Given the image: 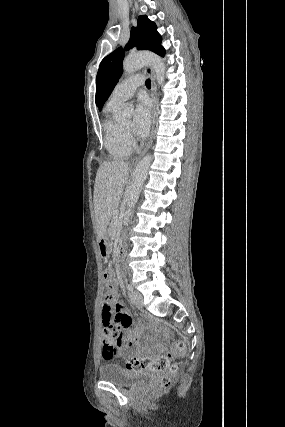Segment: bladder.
I'll return each mask as SVG.
<instances>
[{"instance_id": "bladder-1", "label": "bladder", "mask_w": 285, "mask_h": 427, "mask_svg": "<svg viewBox=\"0 0 285 427\" xmlns=\"http://www.w3.org/2000/svg\"><path fill=\"white\" fill-rule=\"evenodd\" d=\"M98 376L101 381L114 383L120 386H128L137 381L152 379V373L146 371L128 372L122 366L115 363H106L99 367Z\"/></svg>"}]
</instances>
